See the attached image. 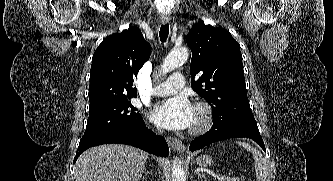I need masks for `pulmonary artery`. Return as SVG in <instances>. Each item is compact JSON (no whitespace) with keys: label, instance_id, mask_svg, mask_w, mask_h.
Listing matches in <instances>:
<instances>
[{"label":"pulmonary artery","instance_id":"pulmonary-artery-1","mask_svg":"<svg viewBox=\"0 0 333 181\" xmlns=\"http://www.w3.org/2000/svg\"><path fill=\"white\" fill-rule=\"evenodd\" d=\"M184 86V76L181 74H172L167 81L155 87L153 94L156 96H170L177 93Z\"/></svg>","mask_w":333,"mask_h":181}]
</instances>
